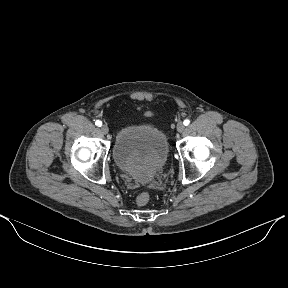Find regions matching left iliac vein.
<instances>
[{
  "label": "left iliac vein",
  "instance_id": "obj_1",
  "mask_svg": "<svg viewBox=\"0 0 288 288\" xmlns=\"http://www.w3.org/2000/svg\"><path fill=\"white\" fill-rule=\"evenodd\" d=\"M184 129H185L184 124H183L182 122H179V123L177 124V131L181 133V132L184 131Z\"/></svg>",
  "mask_w": 288,
  "mask_h": 288
}]
</instances>
